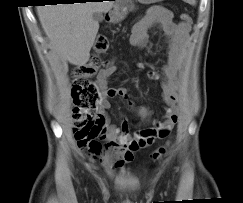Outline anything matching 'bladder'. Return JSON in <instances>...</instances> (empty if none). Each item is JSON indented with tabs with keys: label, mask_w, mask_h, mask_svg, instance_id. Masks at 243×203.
<instances>
[{
	"label": "bladder",
	"mask_w": 243,
	"mask_h": 203,
	"mask_svg": "<svg viewBox=\"0 0 243 203\" xmlns=\"http://www.w3.org/2000/svg\"><path fill=\"white\" fill-rule=\"evenodd\" d=\"M118 179H128L130 178V174L124 172V173H119L115 176Z\"/></svg>",
	"instance_id": "bladder-1"
}]
</instances>
